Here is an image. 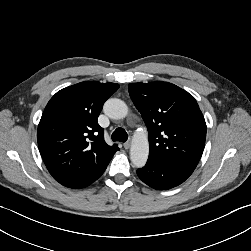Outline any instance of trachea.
Instances as JSON below:
<instances>
[{
    "label": "trachea",
    "instance_id": "trachea-1",
    "mask_svg": "<svg viewBox=\"0 0 251 251\" xmlns=\"http://www.w3.org/2000/svg\"><path fill=\"white\" fill-rule=\"evenodd\" d=\"M113 141L126 142L128 139V134L123 128H117L111 136Z\"/></svg>",
    "mask_w": 251,
    "mask_h": 251
}]
</instances>
